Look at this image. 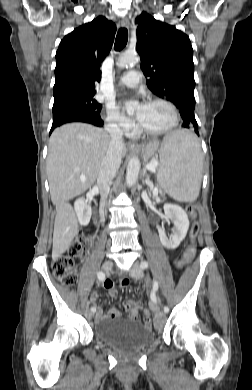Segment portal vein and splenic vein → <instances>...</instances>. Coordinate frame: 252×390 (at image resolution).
Wrapping results in <instances>:
<instances>
[{
	"label": "portal vein and splenic vein",
	"instance_id": "1",
	"mask_svg": "<svg viewBox=\"0 0 252 390\" xmlns=\"http://www.w3.org/2000/svg\"><path fill=\"white\" fill-rule=\"evenodd\" d=\"M157 166H158V161H157V160H153V161H151L149 164L146 165V169H147V170H150L151 172H155ZM81 180L84 181L85 179H84V178H81ZM149 186L152 188L153 193H154L155 195H158L157 189L153 188V185H152V184H149Z\"/></svg>",
	"mask_w": 252,
	"mask_h": 390
}]
</instances>
